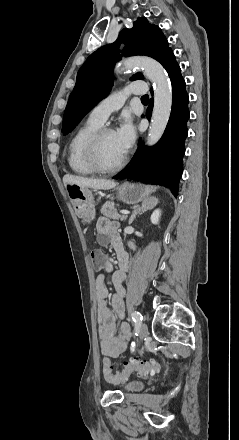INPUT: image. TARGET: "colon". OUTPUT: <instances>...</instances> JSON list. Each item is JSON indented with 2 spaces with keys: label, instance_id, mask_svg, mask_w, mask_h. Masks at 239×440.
Listing matches in <instances>:
<instances>
[{
  "label": "colon",
  "instance_id": "obj_1",
  "mask_svg": "<svg viewBox=\"0 0 239 440\" xmlns=\"http://www.w3.org/2000/svg\"><path fill=\"white\" fill-rule=\"evenodd\" d=\"M91 261L94 270L100 271L103 268V256L98 250H94L91 253ZM158 369V365L153 360H130L125 363L124 369L114 374L112 372L111 361L109 358H104L103 360V374L105 378L113 382H120L128 379L131 374H148L154 373Z\"/></svg>",
  "mask_w": 239,
  "mask_h": 440
}]
</instances>
